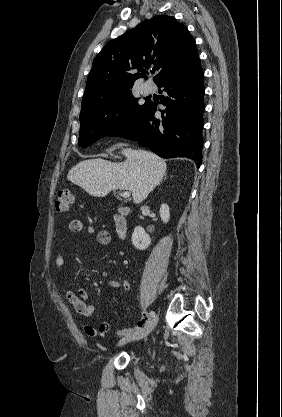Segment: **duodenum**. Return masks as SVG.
<instances>
[{
  "instance_id": "duodenum-1",
  "label": "duodenum",
  "mask_w": 282,
  "mask_h": 417,
  "mask_svg": "<svg viewBox=\"0 0 282 417\" xmlns=\"http://www.w3.org/2000/svg\"><path fill=\"white\" fill-rule=\"evenodd\" d=\"M115 231L120 239H124L128 232V221L124 214L117 213L114 215Z\"/></svg>"
}]
</instances>
